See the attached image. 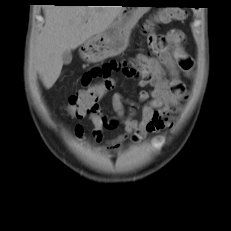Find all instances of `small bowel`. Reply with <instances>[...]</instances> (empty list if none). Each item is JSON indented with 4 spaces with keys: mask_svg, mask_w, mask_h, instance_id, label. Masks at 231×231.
<instances>
[{
    "mask_svg": "<svg viewBox=\"0 0 231 231\" xmlns=\"http://www.w3.org/2000/svg\"><path fill=\"white\" fill-rule=\"evenodd\" d=\"M160 37L164 43L161 49H152L150 54H139L131 61H108L93 67L83 75L82 84L85 87L96 79L112 80L114 73L132 77L133 75L129 74V64H134L139 76L141 90L136 102L128 100L121 93L113 94L111 101L115 119L106 117L99 108L89 114L93 125L92 135L97 142L103 141L104 130L114 129L119 123L123 125V134L106 141V147L112 153L117 152L129 136L139 138L170 126L172 115L179 111L181 101L187 96L180 74L190 75L193 60L182 47L185 35L180 30H173ZM145 87L150 89L146 90ZM139 107L141 119L137 120L135 114ZM74 131L77 137H83L82 124H76Z\"/></svg>",
    "mask_w": 231,
    "mask_h": 231,
    "instance_id": "c3829d8e",
    "label": "small bowel"
}]
</instances>
